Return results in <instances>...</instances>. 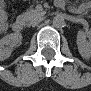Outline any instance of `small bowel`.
Returning <instances> with one entry per match:
<instances>
[{
    "label": "small bowel",
    "instance_id": "1",
    "mask_svg": "<svg viewBox=\"0 0 91 91\" xmlns=\"http://www.w3.org/2000/svg\"><path fill=\"white\" fill-rule=\"evenodd\" d=\"M7 16L5 12L0 13V26L2 29H5L7 27Z\"/></svg>",
    "mask_w": 91,
    "mask_h": 91
}]
</instances>
